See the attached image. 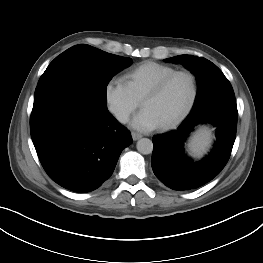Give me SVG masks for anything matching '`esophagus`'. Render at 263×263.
<instances>
[{
    "mask_svg": "<svg viewBox=\"0 0 263 263\" xmlns=\"http://www.w3.org/2000/svg\"><path fill=\"white\" fill-rule=\"evenodd\" d=\"M131 135H132V138L134 141H136L142 137V135L140 133H137V132H132Z\"/></svg>",
    "mask_w": 263,
    "mask_h": 263,
    "instance_id": "esophagus-1",
    "label": "esophagus"
}]
</instances>
